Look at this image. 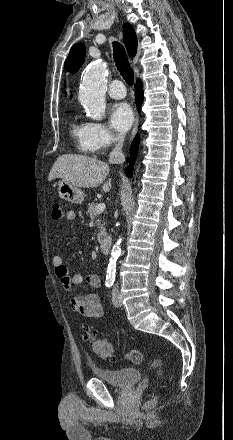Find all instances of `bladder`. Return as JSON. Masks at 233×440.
Masks as SVG:
<instances>
[{"label": "bladder", "instance_id": "obj_1", "mask_svg": "<svg viewBox=\"0 0 233 440\" xmlns=\"http://www.w3.org/2000/svg\"><path fill=\"white\" fill-rule=\"evenodd\" d=\"M91 369L95 377L114 387H131L141 378V373L136 368L103 369L92 366Z\"/></svg>", "mask_w": 233, "mask_h": 440}]
</instances>
